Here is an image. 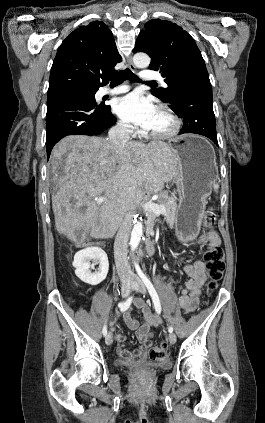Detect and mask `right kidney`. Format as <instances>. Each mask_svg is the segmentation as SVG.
<instances>
[{
  "label": "right kidney",
  "mask_w": 265,
  "mask_h": 423,
  "mask_svg": "<svg viewBox=\"0 0 265 423\" xmlns=\"http://www.w3.org/2000/svg\"><path fill=\"white\" fill-rule=\"evenodd\" d=\"M91 260H96L99 263V269L95 273L90 270L93 267L90 263ZM72 265L76 268V276L90 285H97L105 280L109 270L107 254L99 247H89L77 252Z\"/></svg>",
  "instance_id": "right-kidney-1"
}]
</instances>
